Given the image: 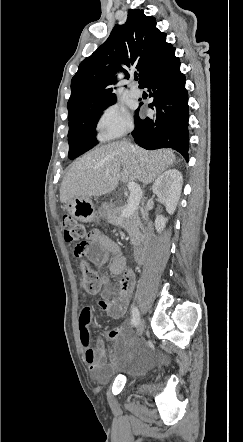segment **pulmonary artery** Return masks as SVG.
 <instances>
[{"mask_svg": "<svg viewBox=\"0 0 243 442\" xmlns=\"http://www.w3.org/2000/svg\"><path fill=\"white\" fill-rule=\"evenodd\" d=\"M130 95L133 98L138 99L142 96V91L138 87L132 86V88L130 89Z\"/></svg>", "mask_w": 243, "mask_h": 442, "instance_id": "pulmonary-artery-1", "label": "pulmonary artery"}]
</instances>
